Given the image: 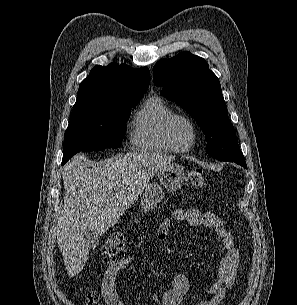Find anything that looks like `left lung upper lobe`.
<instances>
[{
    "mask_svg": "<svg viewBox=\"0 0 297 305\" xmlns=\"http://www.w3.org/2000/svg\"><path fill=\"white\" fill-rule=\"evenodd\" d=\"M153 81L163 87L161 95L176 102L196 120L206 136L210 157L246 166L219 79L205 59L187 51L161 59L153 68Z\"/></svg>",
    "mask_w": 297,
    "mask_h": 305,
    "instance_id": "obj_1",
    "label": "left lung upper lobe"
}]
</instances>
